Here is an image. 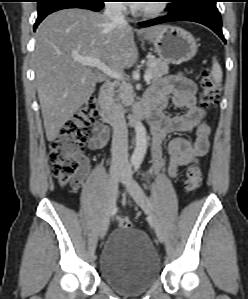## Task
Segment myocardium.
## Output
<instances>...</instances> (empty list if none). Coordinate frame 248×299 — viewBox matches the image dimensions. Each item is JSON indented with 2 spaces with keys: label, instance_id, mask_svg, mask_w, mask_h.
I'll use <instances>...</instances> for the list:
<instances>
[{
  "label": "myocardium",
  "instance_id": "f54148a6",
  "mask_svg": "<svg viewBox=\"0 0 248 299\" xmlns=\"http://www.w3.org/2000/svg\"><path fill=\"white\" fill-rule=\"evenodd\" d=\"M167 6L164 0H158V2L142 6L139 13L145 18H156L167 10Z\"/></svg>",
  "mask_w": 248,
  "mask_h": 299
}]
</instances>
